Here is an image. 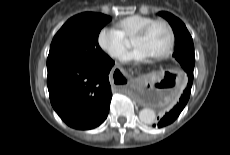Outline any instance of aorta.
I'll return each instance as SVG.
<instances>
[{
  "label": "aorta",
  "mask_w": 230,
  "mask_h": 155,
  "mask_svg": "<svg viewBox=\"0 0 230 155\" xmlns=\"http://www.w3.org/2000/svg\"><path fill=\"white\" fill-rule=\"evenodd\" d=\"M139 119L144 124H152L156 121V113L153 109L144 108L139 112Z\"/></svg>",
  "instance_id": "obj_1"
}]
</instances>
